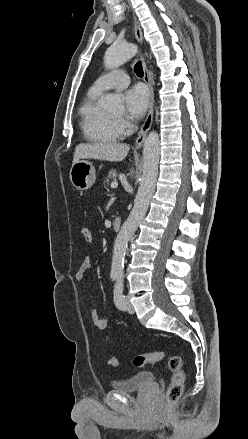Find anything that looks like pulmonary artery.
<instances>
[{"label":"pulmonary artery","instance_id":"1","mask_svg":"<svg viewBox=\"0 0 248 439\" xmlns=\"http://www.w3.org/2000/svg\"><path fill=\"white\" fill-rule=\"evenodd\" d=\"M129 84V76L121 70L109 72L99 77L91 87V91L102 93L110 89H121Z\"/></svg>","mask_w":248,"mask_h":439}]
</instances>
